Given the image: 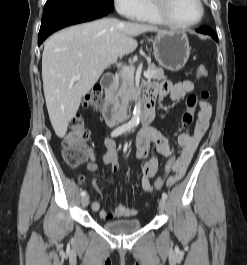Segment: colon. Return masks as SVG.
<instances>
[{"label":"colon","mask_w":247,"mask_h":265,"mask_svg":"<svg viewBox=\"0 0 247 265\" xmlns=\"http://www.w3.org/2000/svg\"><path fill=\"white\" fill-rule=\"evenodd\" d=\"M208 71L202 65L197 68V77L200 79L206 78ZM209 93L202 91L198 97L187 101V108L182 115L181 125L183 127L189 126L193 119L194 113L200 101H206L209 99ZM103 99L102 89L99 86L94 87L83 100L84 106L91 109H97L101 106ZM89 139V131L84 124L83 118L79 115L73 117L69 123L68 131L63 138L62 142V154L65 162L70 167L79 166L87 156L86 142ZM177 157L172 155L167 158L164 169L161 175L155 180L153 187L154 190H159L171 177V173L174 172V166Z\"/></svg>","instance_id":"5ec220e1"}]
</instances>
